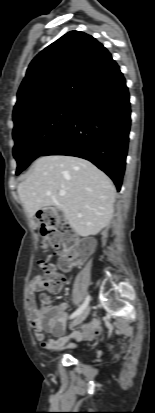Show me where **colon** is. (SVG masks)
<instances>
[{
  "label": "colon",
  "instance_id": "1",
  "mask_svg": "<svg viewBox=\"0 0 155 413\" xmlns=\"http://www.w3.org/2000/svg\"><path fill=\"white\" fill-rule=\"evenodd\" d=\"M41 222L39 233L41 245L46 251H58L63 249L60 259V269H67L74 261L83 259L89 252V246L85 242H78L71 229L60 221V211L53 207L37 208L35 211ZM44 271L43 283L46 289L52 293L61 290L64 277L58 271L56 265L49 260L41 263Z\"/></svg>",
  "mask_w": 155,
  "mask_h": 413
}]
</instances>
